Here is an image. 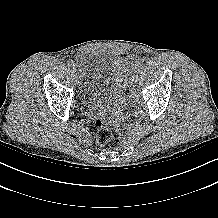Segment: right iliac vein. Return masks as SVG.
<instances>
[{"label":"right iliac vein","mask_w":218,"mask_h":218,"mask_svg":"<svg viewBox=\"0 0 218 218\" xmlns=\"http://www.w3.org/2000/svg\"><path fill=\"white\" fill-rule=\"evenodd\" d=\"M73 73H74L75 77L78 78V73H77V70L75 67H73Z\"/></svg>","instance_id":"63e3f726"}]
</instances>
